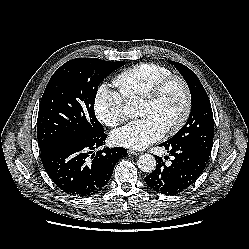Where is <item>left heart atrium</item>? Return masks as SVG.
Wrapping results in <instances>:
<instances>
[{"label": "left heart atrium", "mask_w": 249, "mask_h": 249, "mask_svg": "<svg viewBox=\"0 0 249 249\" xmlns=\"http://www.w3.org/2000/svg\"><path fill=\"white\" fill-rule=\"evenodd\" d=\"M164 133L165 129L156 118L144 116L115 130L111 139L116 145L141 150L158 141Z\"/></svg>", "instance_id": "39dd6f15"}]
</instances>
